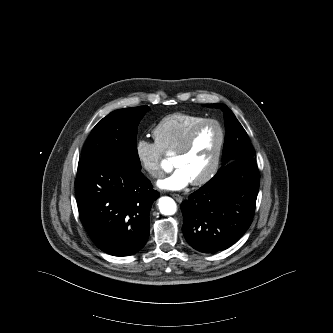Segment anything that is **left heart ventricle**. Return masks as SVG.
I'll use <instances>...</instances> for the list:
<instances>
[{"mask_svg":"<svg viewBox=\"0 0 333 333\" xmlns=\"http://www.w3.org/2000/svg\"><path fill=\"white\" fill-rule=\"evenodd\" d=\"M218 128L209 124L197 134L191 150L180 156H174L173 165L182 168L191 181L203 176L211 167L219 144Z\"/></svg>","mask_w":333,"mask_h":333,"instance_id":"1","label":"left heart ventricle"}]
</instances>
